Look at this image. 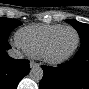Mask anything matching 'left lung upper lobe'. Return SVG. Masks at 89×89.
I'll return each instance as SVG.
<instances>
[{"mask_svg": "<svg viewBox=\"0 0 89 89\" xmlns=\"http://www.w3.org/2000/svg\"><path fill=\"white\" fill-rule=\"evenodd\" d=\"M67 23L71 24L79 33L81 42L89 41V25L78 22L76 20H66Z\"/></svg>", "mask_w": 89, "mask_h": 89, "instance_id": "1", "label": "left lung upper lobe"}]
</instances>
